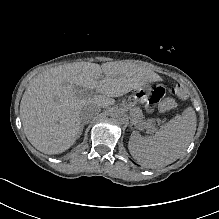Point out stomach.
Returning a JSON list of instances; mask_svg holds the SVG:
<instances>
[{"label":"stomach","instance_id":"1","mask_svg":"<svg viewBox=\"0 0 219 219\" xmlns=\"http://www.w3.org/2000/svg\"><path fill=\"white\" fill-rule=\"evenodd\" d=\"M151 88L148 85L135 89V98L142 101L149 96Z\"/></svg>","mask_w":219,"mask_h":219}]
</instances>
